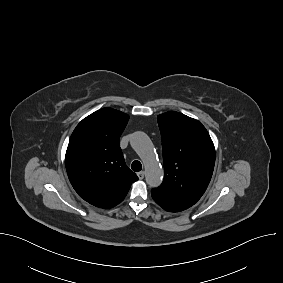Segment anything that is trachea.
I'll use <instances>...</instances> for the list:
<instances>
[{"instance_id":"trachea-1","label":"trachea","mask_w":283,"mask_h":283,"mask_svg":"<svg viewBox=\"0 0 283 283\" xmlns=\"http://www.w3.org/2000/svg\"><path fill=\"white\" fill-rule=\"evenodd\" d=\"M131 168L133 171L139 172L142 169V164L138 160H135L133 161Z\"/></svg>"}]
</instances>
